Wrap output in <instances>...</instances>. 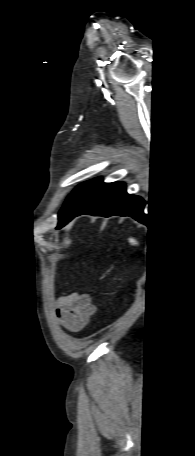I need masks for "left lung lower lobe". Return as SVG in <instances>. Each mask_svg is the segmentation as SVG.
<instances>
[{
  "label": "left lung lower lobe",
  "instance_id": "1",
  "mask_svg": "<svg viewBox=\"0 0 195 456\" xmlns=\"http://www.w3.org/2000/svg\"><path fill=\"white\" fill-rule=\"evenodd\" d=\"M144 201L141 197L130 195L122 182L105 183L102 189L64 223L74 217L90 214L93 216L109 217L112 215L131 216L143 222Z\"/></svg>",
  "mask_w": 195,
  "mask_h": 456
}]
</instances>
